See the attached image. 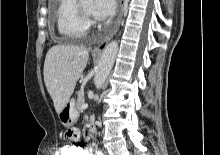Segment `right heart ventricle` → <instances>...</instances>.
<instances>
[{"label":"right heart ventricle","instance_id":"right-heart-ventricle-1","mask_svg":"<svg viewBox=\"0 0 220 155\" xmlns=\"http://www.w3.org/2000/svg\"><path fill=\"white\" fill-rule=\"evenodd\" d=\"M76 3L77 0H59L56 9L57 30L69 40L82 38L88 31V23L78 15Z\"/></svg>","mask_w":220,"mask_h":155}]
</instances>
